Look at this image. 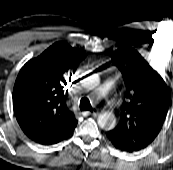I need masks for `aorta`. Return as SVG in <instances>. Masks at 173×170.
Wrapping results in <instances>:
<instances>
[{"label": "aorta", "mask_w": 173, "mask_h": 170, "mask_svg": "<svg viewBox=\"0 0 173 170\" xmlns=\"http://www.w3.org/2000/svg\"><path fill=\"white\" fill-rule=\"evenodd\" d=\"M99 82L100 79L98 75H92L85 79L84 85L87 88L93 89L99 84ZM97 122L102 129L111 130L116 125V118L112 112H104L98 116Z\"/></svg>", "instance_id": "aorta-1"}]
</instances>
